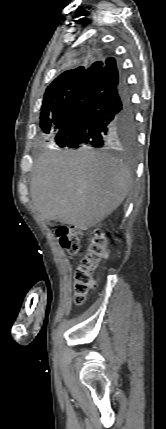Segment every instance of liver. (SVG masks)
<instances>
[{
    "mask_svg": "<svg viewBox=\"0 0 166 429\" xmlns=\"http://www.w3.org/2000/svg\"><path fill=\"white\" fill-rule=\"evenodd\" d=\"M131 184L128 166L111 155L48 150L34 164L30 195L34 209L45 220L85 231L120 206Z\"/></svg>",
    "mask_w": 166,
    "mask_h": 429,
    "instance_id": "6515ba94",
    "label": "liver"
}]
</instances>
